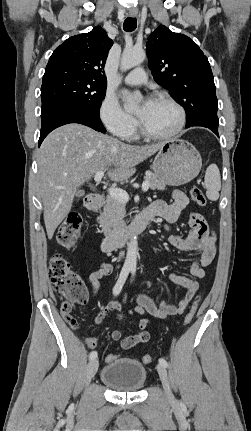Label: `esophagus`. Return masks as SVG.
<instances>
[{
  "label": "esophagus",
  "mask_w": 251,
  "mask_h": 431,
  "mask_svg": "<svg viewBox=\"0 0 251 431\" xmlns=\"http://www.w3.org/2000/svg\"><path fill=\"white\" fill-rule=\"evenodd\" d=\"M137 14H138V12H137V11H130V12H129V16H130V17H136V16H137Z\"/></svg>",
  "instance_id": "obj_1"
}]
</instances>
